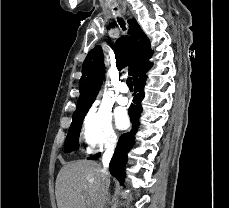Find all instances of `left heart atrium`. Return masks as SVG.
Returning <instances> with one entry per match:
<instances>
[{"instance_id": "1", "label": "left heart atrium", "mask_w": 229, "mask_h": 208, "mask_svg": "<svg viewBox=\"0 0 229 208\" xmlns=\"http://www.w3.org/2000/svg\"><path fill=\"white\" fill-rule=\"evenodd\" d=\"M116 123L120 129L127 128L129 124L127 115L124 112L118 114L116 117Z\"/></svg>"}]
</instances>
